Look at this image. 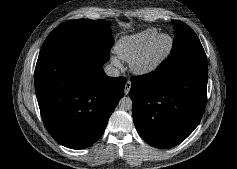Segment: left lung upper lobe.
Instances as JSON below:
<instances>
[{"mask_svg": "<svg viewBox=\"0 0 237 169\" xmlns=\"http://www.w3.org/2000/svg\"><path fill=\"white\" fill-rule=\"evenodd\" d=\"M174 22L177 28L176 36L171 53L162 64L171 67L189 58H205L206 54L195 32L182 21Z\"/></svg>", "mask_w": 237, "mask_h": 169, "instance_id": "left-lung-upper-lobe-1", "label": "left lung upper lobe"}]
</instances>
